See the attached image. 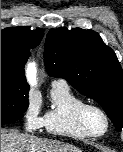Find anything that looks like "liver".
I'll list each match as a JSON object with an SVG mask.
<instances>
[{
  "instance_id": "6515ba94",
  "label": "liver",
  "mask_w": 123,
  "mask_h": 152,
  "mask_svg": "<svg viewBox=\"0 0 123 152\" xmlns=\"http://www.w3.org/2000/svg\"><path fill=\"white\" fill-rule=\"evenodd\" d=\"M1 152H82L79 148L59 141L42 139L16 131L1 130Z\"/></svg>"
}]
</instances>
